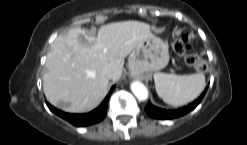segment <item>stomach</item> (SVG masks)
<instances>
[{
    "instance_id": "obj_1",
    "label": "stomach",
    "mask_w": 247,
    "mask_h": 145,
    "mask_svg": "<svg viewBox=\"0 0 247 145\" xmlns=\"http://www.w3.org/2000/svg\"><path fill=\"white\" fill-rule=\"evenodd\" d=\"M168 62V45L153 35L144 39L132 50L128 66L133 75H142L163 69Z\"/></svg>"
}]
</instances>
